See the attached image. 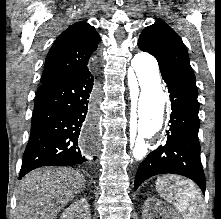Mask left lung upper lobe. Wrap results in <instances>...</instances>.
I'll return each instance as SVG.
<instances>
[{
    "label": "left lung upper lobe",
    "mask_w": 221,
    "mask_h": 219,
    "mask_svg": "<svg viewBox=\"0 0 221 219\" xmlns=\"http://www.w3.org/2000/svg\"><path fill=\"white\" fill-rule=\"evenodd\" d=\"M138 47L157 59L161 72L174 74L196 86L187 49L169 25L156 20L146 27L139 37Z\"/></svg>",
    "instance_id": "5c2ea615"
}]
</instances>
